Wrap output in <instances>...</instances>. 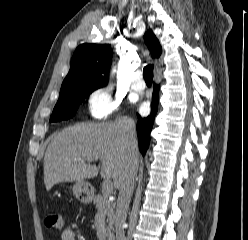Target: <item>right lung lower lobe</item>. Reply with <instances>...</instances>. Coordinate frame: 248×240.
Returning <instances> with one entry per match:
<instances>
[{"mask_svg":"<svg viewBox=\"0 0 248 240\" xmlns=\"http://www.w3.org/2000/svg\"><path fill=\"white\" fill-rule=\"evenodd\" d=\"M158 98H159V85L154 84L153 95H152V109L148 117L142 118L138 116L137 122V133L139 141V150L142 155H145L149 143H150V132L153 128V123L158 110Z\"/></svg>","mask_w":248,"mask_h":240,"instance_id":"obj_1","label":"right lung lower lobe"}]
</instances>
